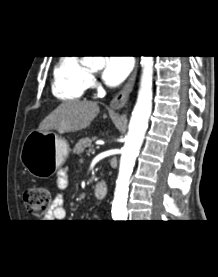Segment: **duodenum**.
Wrapping results in <instances>:
<instances>
[{
	"label": "duodenum",
	"instance_id": "1",
	"mask_svg": "<svg viewBox=\"0 0 218 277\" xmlns=\"http://www.w3.org/2000/svg\"><path fill=\"white\" fill-rule=\"evenodd\" d=\"M107 184L103 181H99L94 186V194L97 199H104L107 195Z\"/></svg>",
	"mask_w": 218,
	"mask_h": 277
}]
</instances>
